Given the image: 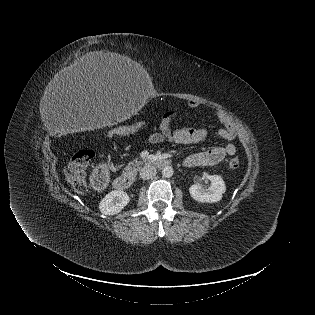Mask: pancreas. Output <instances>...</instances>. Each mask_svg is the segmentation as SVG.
<instances>
[{"label": "pancreas", "mask_w": 315, "mask_h": 315, "mask_svg": "<svg viewBox=\"0 0 315 315\" xmlns=\"http://www.w3.org/2000/svg\"><path fill=\"white\" fill-rule=\"evenodd\" d=\"M141 162H138L137 160H134V163L133 162H129L128 165H127V169L128 170H137L139 169V166H140Z\"/></svg>", "instance_id": "1"}]
</instances>
